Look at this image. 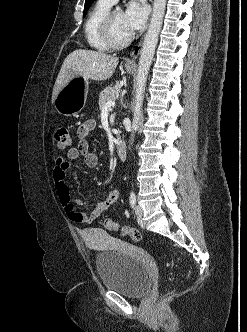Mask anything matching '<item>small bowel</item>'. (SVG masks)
I'll list each match as a JSON object with an SVG mask.
<instances>
[{"label": "small bowel", "mask_w": 247, "mask_h": 332, "mask_svg": "<svg viewBox=\"0 0 247 332\" xmlns=\"http://www.w3.org/2000/svg\"><path fill=\"white\" fill-rule=\"evenodd\" d=\"M96 122L92 119L82 123L77 131L79 138L78 147L68 150L67 158L58 156L55 159V166L53 170V179L55 182V189L68 218L74 222L82 224H91L98 217L108 211L115 205L119 198L120 193L117 189H112L106 199L97 201L90 213H86L78 209V207H88L89 200L75 199L71 196L69 186L65 180L66 172L70 167L69 160H75L79 156L83 157L84 163L89 168H94L98 164L97 156L91 151L88 142L89 133L95 128Z\"/></svg>", "instance_id": "c3829d8e"}]
</instances>
